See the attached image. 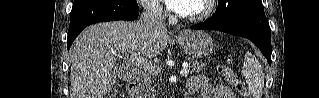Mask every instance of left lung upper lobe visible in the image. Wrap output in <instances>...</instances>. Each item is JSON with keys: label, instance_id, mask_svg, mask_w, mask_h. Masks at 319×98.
<instances>
[{"label": "left lung upper lobe", "instance_id": "1", "mask_svg": "<svg viewBox=\"0 0 319 98\" xmlns=\"http://www.w3.org/2000/svg\"><path fill=\"white\" fill-rule=\"evenodd\" d=\"M255 10H263L261 0H218L215 14L205 23L219 24L235 20Z\"/></svg>", "mask_w": 319, "mask_h": 98}]
</instances>
